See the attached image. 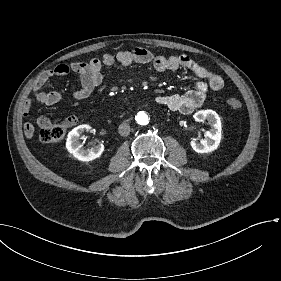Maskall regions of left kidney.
I'll return each mask as SVG.
<instances>
[{
    "label": "left kidney",
    "instance_id": "5707ae66",
    "mask_svg": "<svg viewBox=\"0 0 281 281\" xmlns=\"http://www.w3.org/2000/svg\"><path fill=\"white\" fill-rule=\"evenodd\" d=\"M195 121L207 120L211 126L210 131L205 134V139H202L200 143L191 141V147L197 153H208L217 149L221 141V120L219 115L213 110H199L194 115Z\"/></svg>",
    "mask_w": 281,
    "mask_h": 281
}]
</instances>
